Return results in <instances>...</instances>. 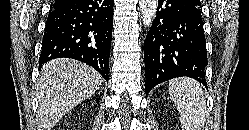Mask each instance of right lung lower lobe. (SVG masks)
<instances>
[{"label":"right lung lower lobe","mask_w":249,"mask_h":130,"mask_svg":"<svg viewBox=\"0 0 249 130\" xmlns=\"http://www.w3.org/2000/svg\"><path fill=\"white\" fill-rule=\"evenodd\" d=\"M114 0H71L47 18L39 65L73 58L92 66L108 81Z\"/></svg>","instance_id":"right-lung-lower-lobe-1"}]
</instances>
